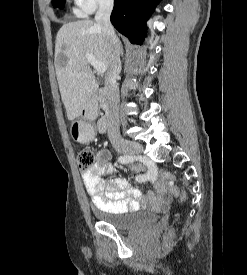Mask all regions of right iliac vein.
<instances>
[{"label":"right iliac vein","instance_id":"63e3f726","mask_svg":"<svg viewBox=\"0 0 247 275\" xmlns=\"http://www.w3.org/2000/svg\"><path fill=\"white\" fill-rule=\"evenodd\" d=\"M118 151L120 153L134 155V154L142 153L143 149H142V146L138 143L131 142V141H123L119 145Z\"/></svg>","mask_w":247,"mask_h":275}]
</instances>
